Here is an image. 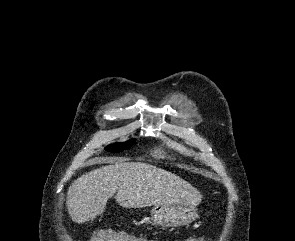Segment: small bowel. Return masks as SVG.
Instances as JSON below:
<instances>
[{
  "instance_id": "c3829d8e",
  "label": "small bowel",
  "mask_w": 295,
  "mask_h": 241,
  "mask_svg": "<svg viewBox=\"0 0 295 241\" xmlns=\"http://www.w3.org/2000/svg\"><path fill=\"white\" fill-rule=\"evenodd\" d=\"M189 241V239H187ZM186 240V241H187ZM132 241H146L144 239H140V238H136V237H132ZM191 241V240H190Z\"/></svg>"
}]
</instances>
